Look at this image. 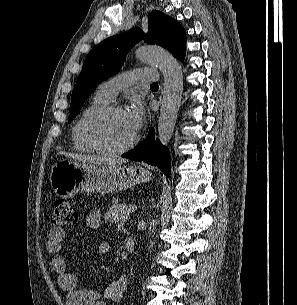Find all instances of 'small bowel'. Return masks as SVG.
<instances>
[{"label":"small bowel","mask_w":297,"mask_h":305,"mask_svg":"<svg viewBox=\"0 0 297 305\" xmlns=\"http://www.w3.org/2000/svg\"><path fill=\"white\" fill-rule=\"evenodd\" d=\"M101 223V211L98 209L90 211L85 217V224L89 229H96ZM64 239V229L51 227L46 238V249L51 254L50 265L57 275L59 286L67 294L66 305H121L128 285V276L121 275L101 292L81 287L78 277L68 270L67 261L61 253ZM97 251L107 254L110 245L100 242Z\"/></svg>","instance_id":"1"}]
</instances>
